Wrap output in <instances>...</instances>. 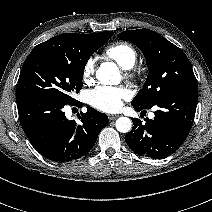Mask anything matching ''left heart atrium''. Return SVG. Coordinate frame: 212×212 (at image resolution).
<instances>
[{
    "mask_svg": "<svg viewBox=\"0 0 212 212\" xmlns=\"http://www.w3.org/2000/svg\"><path fill=\"white\" fill-rule=\"evenodd\" d=\"M130 97V92L124 87L99 86L88 94V101L94 108L113 112L118 110L123 100Z\"/></svg>",
    "mask_w": 212,
    "mask_h": 212,
    "instance_id": "1",
    "label": "left heart atrium"
}]
</instances>
